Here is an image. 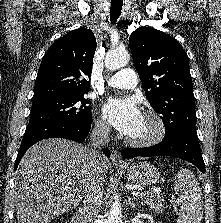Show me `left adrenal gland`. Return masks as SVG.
I'll return each instance as SVG.
<instances>
[{
  "label": "left adrenal gland",
  "mask_w": 221,
  "mask_h": 223,
  "mask_svg": "<svg viewBox=\"0 0 221 223\" xmlns=\"http://www.w3.org/2000/svg\"><path fill=\"white\" fill-rule=\"evenodd\" d=\"M128 202L132 209H135L137 206H141V203L138 200L134 201L131 197L128 198Z\"/></svg>",
  "instance_id": "obj_1"
}]
</instances>
